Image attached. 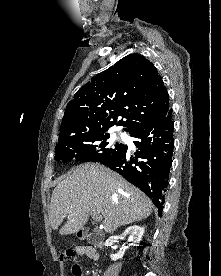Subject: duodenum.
Masks as SVG:
<instances>
[{"label": "duodenum", "instance_id": "410a0bca", "mask_svg": "<svg viewBox=\"0 0 221 276\" xmlns=\"http://www.w3.org/2000/svg\"><path fill=\"white\" fill-rule=\"evenodd\" d=\"M88 235H89V232L87 231V230H80V231H78L77 232V236L80 238V239H86L87 237H88ZM102 242L101 241H98L97 243H96V245H95V247H97V248H100V247H102ZM92 247V246H91ZM92 248H94V247H92Z\"/></svg>", "mask_w": 221, "mask_h": 276}]
</instances>
